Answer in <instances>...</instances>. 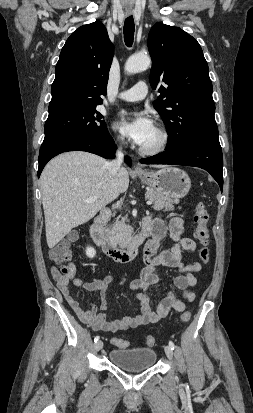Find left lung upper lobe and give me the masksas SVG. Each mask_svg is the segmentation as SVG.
<instances>
[{
    "instance_id": "5c2ea615",
    "label": "left lung upper lobe",
    "mask_w": 253,
    "mask_h": 413,
    "mask_svg": "<svg viewBox=\"0 0 253 413\" xmlns=\"http://www.w3.org/2000/svg\"><path fill=\"white\" fill-rule=\"evenodd\" d=\"M148 50L152 88L165 83L153 104L169 134L166 149L199 140L219 142L209 68L199 43L178 27L156 23Z\"/></svg>"
}]
</instances>
